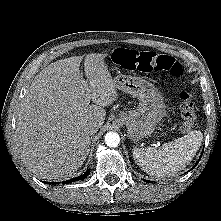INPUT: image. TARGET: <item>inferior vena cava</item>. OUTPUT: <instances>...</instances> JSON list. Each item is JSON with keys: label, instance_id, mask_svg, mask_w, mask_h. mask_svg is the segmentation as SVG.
Segmentation results:
<instances>
[{"label": "inferior vena cava", "instance_id": "inferior-vena-cava-1", "mask_svg": "<svg viewBox=\"0 0 221 221\" xmlns=\"http://www.w3.org/2000/svg\"><path fill=\"white\" fill-rule=\"evenodd\" d=\"M99 124L97 122H90L87 124V130L90 135L95 134L99 129Z\"/></svg>", "mask_w": 221, "mask_h": 221}]
</instances>
